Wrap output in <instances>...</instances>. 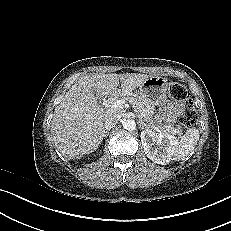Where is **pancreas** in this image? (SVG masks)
Returning <instances> with one entry per match:
<instances>
[{"label": "pancreas", "instance_id": "obj_1", "mask_svg": "<svg viewBox=\"0 0 231 231\" xmlns=\"http://www.w3.org/2000/svg\"><path fill=\"white\" fill-rule=\"evenodd\" d=\"M117 100H125L131 103L137 110V112L141 115V117L144 120H148L153 114H154V106L151 105L147 100L141 98L140 96L133 94V93H127V94H121L118 96H115L113 98H110L106 105L108 107V111L112 112L114 111L111 106L117 101ZM119 110H115L117 112ZM159 131H163L169 134L173 135H181L182 134V128L181 126L174 127L173 125H163L159 128H156Z\"/></svg>", "mask_w": 231, "mask_h": 231}]
</instances>
